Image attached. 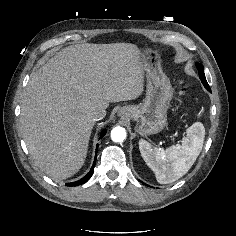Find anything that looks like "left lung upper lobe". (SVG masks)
I'll list each match as a JSON object with an SVG mask.
<instances>
[{
  "label": "left lung upper lobe",
  "instance_id": "1",
  "mask_svg": "<svg viewBox=\"0 0 236 236\" xmlns=\"http://www.w3.org/2000/svg\"><path fill=\"white\" fill-rule=\"evenodd\" d=\"M196 66H197V69H198V71H199V77H200V79H201L203 85L205 86V88H206L207 90L211 91V90H210V87H209V85H208V83H207L205 74H204L203 66H202L201 64H197Z\"/></svg>",
  "mask_w": 236,
  "mask_h": 236
}]
</instances>
